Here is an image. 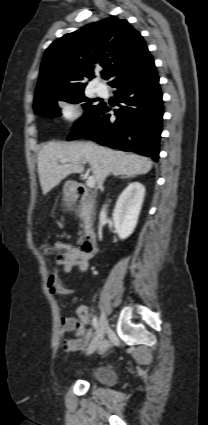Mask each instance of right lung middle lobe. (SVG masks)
I'll use <instances>...</instances> for the list:
<instances>
[{
	"label": "right lung middle lobe",
	"instance_id": "obj_1",
	"mask_svg": "<svg viewBox=\"0 0 208 425\" xmlns=\"http://www.w3.org/2000/svg\"><path fill=\"white\" fill-rule=\"evenodd\" d=\"M59 101L80 104L86 110L85 115L91 113L100 105L92 103L89 98L85 97L83 89L70 93H51L45 95L34 103V111L36 114L59 116L61 115L60 108L57 105Z\"/></svg>",
	"mask_w": 208,
	"mask_h": 425
}]
</instances>
